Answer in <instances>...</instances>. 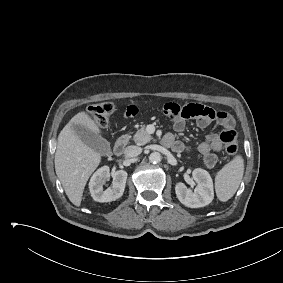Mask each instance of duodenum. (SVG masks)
Segmentation results:
<instances>
[{
	"mask_svg": "<svg viewBox=\"0 0 283 283\" xmlns=\"http://www.w3.org/2000/svg\"><path fill=\"white\" fill-rule=\"evenodd\" d=\"M128 137L126 135H122L119 137L114 145V153L117 156H121L127 146Z\"/></svg>",
	"mask_w": 283,
	"mask_h": 283,
	"instance_id": "duodenum-1",
	"label": "duodenum"
}]
</instances>
